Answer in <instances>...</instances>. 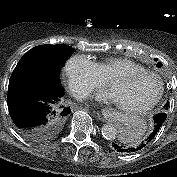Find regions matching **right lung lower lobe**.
Listing matches in <instances>:
<instances>
[{
	"label": "right lung lower lobe",
	"mask_w": 177,
	"mask_h": 177,
	"mask_svg": "<svg viewBox=\"0 0 177 177\" xmlns=\"http://www.w3.org/2000/svg\"><path fill=\"white\" fill-rule=\"evenodd\" d=\"M61 83L40 73L10 77L7 104L17 129L43 140L56 135L71 113Z\"/></svg>",
	"instance_id": "right-lung-lower-lobe-1"
}]
</instances>
